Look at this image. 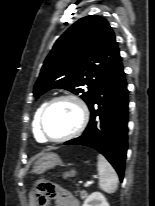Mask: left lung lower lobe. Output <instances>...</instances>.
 Here are the masks:
<instances>
[{
	"label": "left lung lower lobe",
	"instance_id": "0a47b994",
	"mask_svg": "<svg viewBox=\"0 0 155 206\" xmlns=\"http://www.w3.org/2000/svg\"><path fill=\"white\" fill-rule=\"evenodd\" d=\"M128 90L122 61L106 77L89 105L84 133L65 144L83 145L103 154L123 180L127 152Z\"/></svg>",
	"mask_w": 155,
	"mask_h": 206
}]
</instances>
